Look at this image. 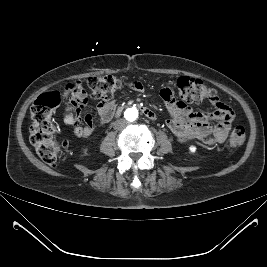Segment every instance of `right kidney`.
I'll list each match as a JSON object with an SVG mask.
<instances>
[{"mask_svg":"<svg viewBox=\"0 0 267 267\" xmlns=\"http://www.w3.org/2000/svg\"><path fill=\"white\" fill-rule=\"evenodd\" d=\"M84 153L86 154L87 153V150H84Z\"/></svg>","mask_w":267,"mask_h":267,"instance_id":"1","label":"right kidney"}]
</instances>
